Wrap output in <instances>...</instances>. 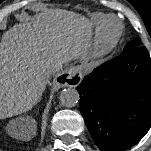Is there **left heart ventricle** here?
<instances>
[{
  "instance_id": "1",
  "label": "left heart ventricle",
  "mask_w": 151,
  "mask_h": 151,
  "mask_svg": "<svg viewBox=\"0 0 151 151\" xmlns=\"http://www.w3.org/2000/svg\"><path fill=\"white\" fill-rule=\"evenodd\" d=\"M115 27H116V24H115L114 22H111L110 28H111V29H114Z\"/></svg>"
}]
</instances>
